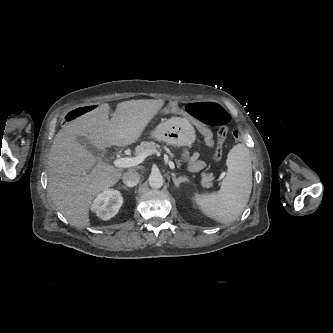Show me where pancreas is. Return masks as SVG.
<instances>
[{"label":"pancreas","instance_id":"1","mask_svg":"<svg viewBox=\"0 0 333 333\" xmlns=\"http://www.w3.org/2000/svg\"><path fill=\"white\" fill-rule=\"evenodd\" d=\"M161 146L156 144L153 141H143L139 146H137L135 148L134 154L135 155H139L142 152H154L157 151V149H160ZM171 157H174V155L172 153H170ZM177 166L180 168L181 164L180 162L177 161ZM213 177L211 174H206V173H201V185L205 186V187H210L212 185L211 181H212Z\"/></svg>","mask_w":333,"mask_h":333}]
</instances>
